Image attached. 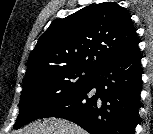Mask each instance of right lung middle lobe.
I'll return each mask as SVG.
<instances>
[{
	"label": "right lung middle lobe",
	"instance_id": "right-lung-middle-lobe-1",
	"mask_svg": "<svg viewBox=\"0 0 153 134\" xmlns=\"http://www.w3.org/2000/svg\"><path fill=\"white\" fill-rule=\"evenodd\" d=\"M93 70L79 67H60L23 79L19 115L14 129L39 118L70 95L81 89Z\"/></svg>",
	"mask_w": 153,
	"mask_h": 134
}]
</instances>
